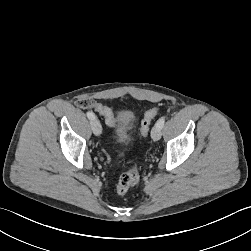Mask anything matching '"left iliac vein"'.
Listing matches in <instances>:
<instances>
[{"instance_id": "1", "label": "left iliac vein", "mask_w": 251, "mask_h": 251, "mask_svg": "<svg viewBox=\"0 0 251 251\" xmlns=\"http://www.w3.org/2000/svg\"><path fill=\"white\" fill-rule=\"evenodd\" d=\"M151 137L154 141H158L161 138V128L155 125L151 131Z\"/></svg>"}]
</instances>
